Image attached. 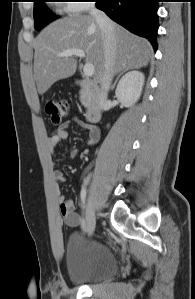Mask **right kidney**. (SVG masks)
Listing matches in <instances>:
<instances>
[{
  "instance_id": "ca27d5eb",
  "label": "right kidney",
  "mask_w": 195,
  "mask_h": 299,
  "mask_svg": "<svg viewBox=\"0 0 195 299\" xmlns=\"http://www.w3.org/2000/svg\"><path fill=\"white\" fill-rule=\"evenodd\" d=\"M144 79V74L136 70L126 73L121 78L115 95L123 106L132 107L139 100L144 85Z\"/></svg>"
}]
</instances>
